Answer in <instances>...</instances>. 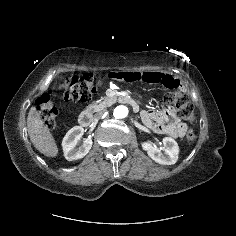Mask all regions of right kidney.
I'll use <instances>...</instances> for the list:
<instances>
[{"instance_id": "1", "label": "right kidney", "mask_w": 236, "mask_h": 236, "mask_svg": "<svg viewBox=\"0 0 236 236\" xmlns=\"http://www.w3.org/2000/svg\"><path fill=\"white\" fill-rule=\"evenodd\" d=\"M83 133V127L75 126L71 128L63 138L62 148L64 156L68 161L81 159L90 151L93 144L91 139H86L81 146L77 147V143Z\"/></svg>"}]
</instances>
